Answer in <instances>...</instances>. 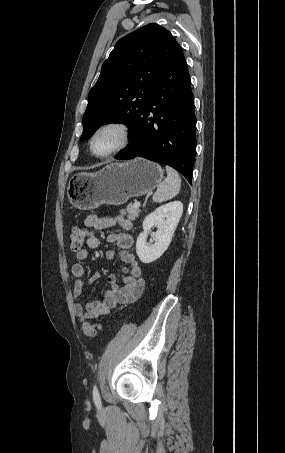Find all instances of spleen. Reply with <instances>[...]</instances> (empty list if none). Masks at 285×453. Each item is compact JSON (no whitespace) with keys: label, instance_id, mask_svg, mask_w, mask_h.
<instances>
[{"label":"spleen","instance_id":"obj_1","mask_svg":"<svg viewBox=\"0 0 285 453\" xmlns=\"http://www.w3.org/2000/svg\"><path fill=\"white\" fill-rule=\"evenodd\" d=\"M167 177L159 184L155 194L153 195V201L161 203L175 197L181 188V178L179 174L169 166H166Z\"/></svg>","mask_w":285,"mask_h":453}]
</instances>
